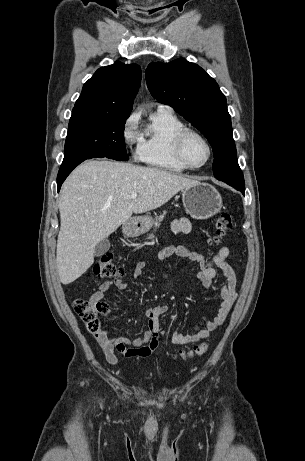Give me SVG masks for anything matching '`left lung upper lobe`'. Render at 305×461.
Returning a JSON list of instances; mask_svg holds the SVG:
<instances>
[{
    "label": "left lung upper lobe",
    "mask_w": 305,
    "mask_h": 461,
    "mask_svg": "<svg viewBox=\"0 0 305 461\" xmlns=\"http://www.w3.org/2000/svg\"><path fill=\"white\" fill-rule=\"evenodd\" d=\"M146 78L154 98L173 107L205 135L213 149L215 178L238 190L245 187L226 98L216 81L185 59L151 63Z\"/></svg>",
    "instance_id": "left-lung-upper-lobe-1"
}]
</instances>
